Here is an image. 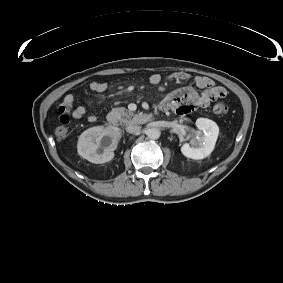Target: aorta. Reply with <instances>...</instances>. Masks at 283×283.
Masks as SVG:
<instances>
[{
	"instance_id": "1",
	"label": "aorta",
	"mask_w": 283,
	"mask_h": 283,
	"mask_svg": "<svg viewBox=\"0 0 283 283\" xmlns=\"http://www.w3.org/2000/svg\"><path fill=\"white\" fill-rule=\"evenodd\" d=\"M161 135V132L159 129L157 128H150L148 131H147V137L151 140H157L159 139Z\"/></svg>"
}]
</instances>
